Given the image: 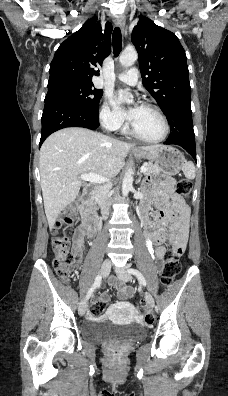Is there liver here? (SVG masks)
Wrapping results in <instances>:
<instances>
[{
    "label": "liver",
    "instance_id": "6515ba94",
    "mask_svg": "<svg viewBox=\"0 0 228 396\" xmlns=\"http://www.w3.org/2000/svg\"><path fill=\"white\" fill-rule=\"evenodd\" d=\"M163 145L142 146L152 151ZM133 148L86 128L70 127L50 135L42 144L39 156L41 188L45 214L52 229L60 212L79 195V175L90 172L111 178L124 166Z\"/></svg>",
    "mask_w": 228,
    "mask_h": 396
}]
</instances>
